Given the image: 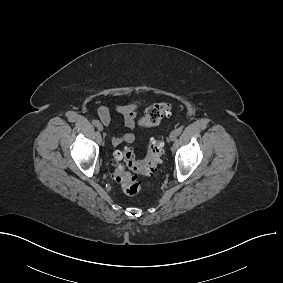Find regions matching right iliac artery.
Masks as SVG:
<instances>
[{
  "instance_id": "1",
  "label": "right iliac artery",
  "mask_w": 283,
  "mask_h": 283,
  "mask_svg": "<svg viewBox=\"0 0 283 283\" xmlns=\"http://www.w3.org/2000/svg\"><path fill=\"white\" fill-rule=\"evenodd\" d=\"M92 124H93L94 126H98V125L100 124V122H99L98 120H93V121H92Z\"/></svg>"
}]
</instances>
